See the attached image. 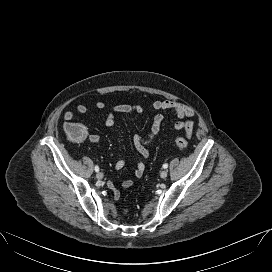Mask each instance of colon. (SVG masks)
I'll return each instance as SVG.
<instances>
[{"label": "colon", "instance_id": "5ec220e1", "mask_svg": "<svg viewBox=\"0 0 272 272\" xmlns=\"http://www.w3.org/2000/svg\"><path fill=\"white\" fill-rule=\"evenodd\" d=\"M64 130L68 138L75 142H80L86 139L87 130L86 128L76 122H68L64 125ZM188 137V135H186ZM175 145L179 149H185L188 145V141L185 137H177L175 139Z\"/></svg>", "mask_w": 272, "mask_h": 272}]
</instances>
